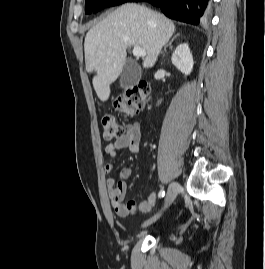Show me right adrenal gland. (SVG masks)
<instances>
[{
    "label": "right adrenal gland",
    "mask_w": 265,
    "mask_h": 269,
    "mask_svg": "<svg viewBox=\"0 0 265 269\" xmlns=\"http://www.w3.org/2000/svg\"><path fill=\"white\" fill-rule=\"evenodd\" d=\"M179 35H180V34L177 33V34L171 39V41L165 46V48H164V51H165V52H166V48H167L168 46H171L172 43H173V41H174Z\"/></svg>",
    "instance_id": "right-adrenal-gland-1"
}]
</instances>
